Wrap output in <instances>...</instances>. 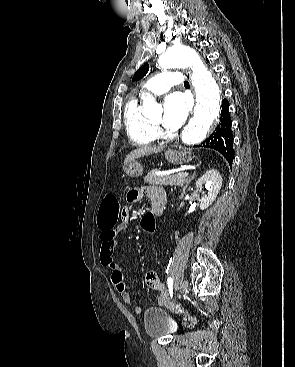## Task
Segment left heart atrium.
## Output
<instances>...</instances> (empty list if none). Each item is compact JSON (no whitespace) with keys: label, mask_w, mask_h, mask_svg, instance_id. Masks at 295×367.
Returning <instances> with one entry per match:
<instances>
[{"label":"left heart atrium","mask_w":295,"mask_h":367,"mask_svg":"<svg viewBox=\"0 0 295 367\" xmlns=\"http://www.w3.org/2000/svg\"><path fill=\"white\" fill-rule=\"evenodd\" d=\"M189 98L181 93L174 92L164 101L162 125L169 131L178 129L185 121L190 110Z\"/></svg>","instance_id":"39dd6f15"}]
</instances>
